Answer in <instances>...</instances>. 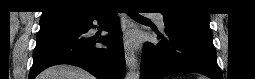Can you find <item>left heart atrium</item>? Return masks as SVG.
I'll return each mask as SVG.
<instances>
[{"label":"left heart atrium","mask_w":255,"mask_h":79,"mask_svg":"<svg viewBox=\"0 0 255 79\" xmlns=\"http://www.w3.org/2000/svg\"><path fill=\"white\" fill-rule=\"evenodd\" d=\"M125 41L128 47H135L137 45L138 38L135 33H129L125 37Z\"/></svg>","instance_id":"1"}]
</instances>
